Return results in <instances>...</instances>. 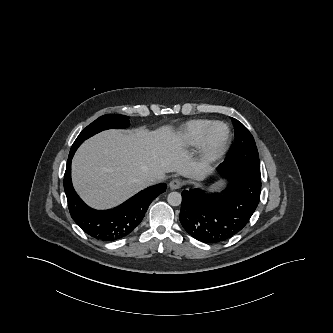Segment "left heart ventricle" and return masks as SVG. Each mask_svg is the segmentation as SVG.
<instances>
[{
	"mask_svg": "<svg viewBox=\"0 0 333 333\" xmlns=\"http://www.w3.org/2000/svg\"><path fill=\"white\" fill-rule=\"evenodd\" d=\"M225 136V129L222 126H218L214 130V139L219 142L221 141Z\"/></svg>",
	"mask_w": 333,
	"mask_h": 333,
	"instance_id": "1",
	"label": "left heart ventricle"
}]
</instances>
